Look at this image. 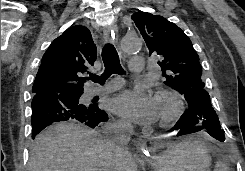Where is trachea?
<instances>
[{
    "mask_svg": "<svg viewBox=\"0 0 245 171\" xmlns=\"http://www.w3.org/2000/svg\"><path fill=\"white\" fill-rule=\"evenodd\" d=\"M102 59L104 62L105 70L101 76L91 74L89 79L93 82H98L100 84H104V82L112 75V74H123L124 70L121 67L118 53L115 47L108 43L104 46L102 50Z\"/></svg>",
    "mask_w": 245,
    "mask_h": 171,
    "instance_id": "trachea-1",
    "label": "trachea"
}]
</instances>
